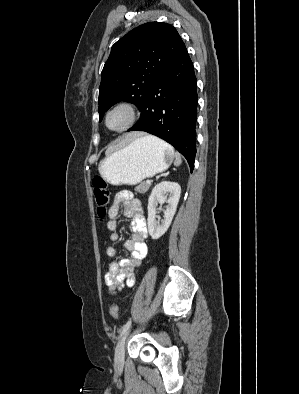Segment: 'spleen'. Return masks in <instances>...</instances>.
Returning <instances> with one entry per match:
<instances>
[{"label":"spleen","instance_id":"spleen-1","mask_svg":"<svg viewBox=\"0 0 299 394\" xmlns=\"http://www.w3.org/2000/svg\"><path fill=\"white\" fill-rule=\"evenodd\" d=\"M150 137H152V136H150ZM153 138L157 143H159V144L163 145L164 147H166L167 149L171 150V152L175 158V161H174L175 166H179L182 163L180 154L175 152L174 149L170 145H168L167 143H165L164 141H162L158 138H155V137H153Z\"/></svg>","mask_w":299,"mask_h":394}]
</instances>
